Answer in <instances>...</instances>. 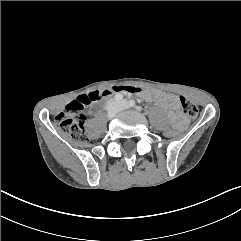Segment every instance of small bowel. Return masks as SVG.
<instances>
[{"instance_id": "obj_1", "label": "small bowel", "mask_w": 241, "mask_h": 241, "mask_svg": "<svg viewBox=\"0 0 241 241\" xmlns=\"http://www.w3.org/2000/svg\"><path fill=\"white\" fill-rule=\"evenodd\" d=\"M144 97L148 100L157 102L161 107L168 109L171 117L177 122L179 126L183 125V120L179 115L180 104L178 97L162 91H154L150 93L142 92Z\"/></svg>"}]
</instances>
